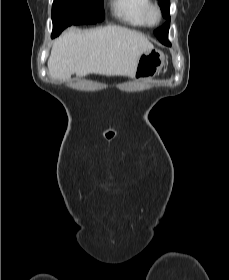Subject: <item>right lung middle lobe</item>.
Instances as JSON below:
<instances>
[{"label":"right lung middle lobe","mask_w":229,"mask_h":280,"mask_svg":"<svg viewBox=\"0 0 229 280\" xmlns=\"http://www.w3.org/2000/svg\"><path fill=\"white\" fill-rule=\"evenodd\" d=\"M103 0H54L52 36L72 24H93L104 20Z\"/></svg>","instance_id":"right-lung-middle-lobe-1"}]
</instances>
